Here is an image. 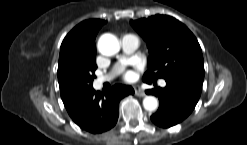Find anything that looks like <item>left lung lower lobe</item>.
Wrapping results in <instances>:
<instances>
[{
  "label": "left lung lower lobe",
  "mask_w": 247,
  "mask_h": 145,
  "mask_svg": "<svg viewBox=\"0 0 247 145\" xmlns=\"http://www.w3.org/2000/svg\"><path fill=\"white\" fill-rule=\"evenodd\" d=\"M165 81V88L146 90V93L154 94L160 100L158 111L151 116L152 122L168 128L180 123L192 112L201 95L202 83L183 77H170Z\"/></svg>",
  "instance_id": "1"
}]
</instances>
